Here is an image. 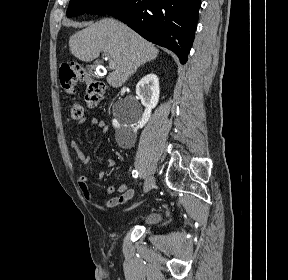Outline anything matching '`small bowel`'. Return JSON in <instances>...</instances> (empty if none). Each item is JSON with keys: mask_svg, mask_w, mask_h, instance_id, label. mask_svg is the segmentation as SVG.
Segmentation results:
<instances>
[{"mask_svg": "<svg viewBox=\"0 0 288 280\" xmlns=\"http://www.w3.org/2000/svg\"><path fill=\"white\" fill-rule=\"evenodd\" d=\"M89 122L91 125L99 128L102 133L108 132V126L106 123L96 117H90V118H84L80 121L81 124ZM71 148L75 151L78 159L82 164H87L90 161L89 155L83 152V150L80 148L77 141H71L70 143ZM109 167H113L115 165V162L113 159H108L107 161ZM106 173L104 171H100L97 174V178L99 180H102L105 178ZM78 185L79 188L85 198V200L94 206L95 208L101 210V211H108L109 209H112L114 207L120 206L128 202L134 197V189L129 188L127 184L121 183L118 187L111 184L107 188V193L109 195L114 194L115 192L118 193L117 196L111 197V198H100L98 197L94 191L92 190L89 179L87 176L82 175L78 179Z\"/></svg>", "mask_w": 288, "mask_h": 280, "instance_id": "obj_1", "label": "small bowel"}]
</instances>
